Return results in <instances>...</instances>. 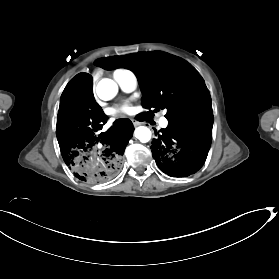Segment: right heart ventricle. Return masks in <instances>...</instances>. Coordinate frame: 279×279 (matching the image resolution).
<instances>
[{
    "label": "right heart ventricle",
    "mask_w": 279,
    "mask_h": 279,
    "mask_svg": "<svg viewBox=\"0 0 279 279\" xmlns=\"http://www.w3.org/2000/svg\"><path fill=\"white\" fill-rule=\"evenodd\" d=\"M119 70H121L123 73H126V74H128V73H131V74H133L131 71H129V70H125V69H119Z\"/></svg>",
    "instance_id": "1"
}]
</instances>
